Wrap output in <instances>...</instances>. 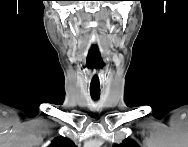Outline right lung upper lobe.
I'll return each instance as SVG.
<instances>
[{
    "label": "right lung upper lobe",
    "mask_w": 188,
    "mask_h": 147,
    "mask_svg": "<svg viewBox=\"0 0 188 147\" xmlns=\"http://www.w3.org/2000/svg\"><path fill=\"white\" fill-rule=\"evenodd\" d=\"M75 144L68 138L58 137L49 147H74Z\"/></svg>",
    "instance_id": "1"
}]
</instances>
